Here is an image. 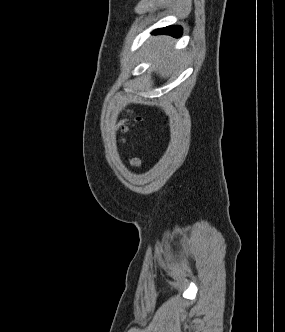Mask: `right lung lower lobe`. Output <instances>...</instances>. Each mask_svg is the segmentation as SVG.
Masks as SVG:
<instances>
[{"label": "right lung lower lobe", "instance_id": "1", "mask_svg": "<svg viewBox=\"0 0 285 332\" xmlns=\"http://www.w3.org/2000/svg\"><path fill=\"white\" fill-rule=\"evenodd\" d=\"M154 34H168L174 37H180L182 35V28L180 26H168L165 28L157 29Z\"/></svg>", "mask_w": 285, "mask_h": 332}]
</instances>
